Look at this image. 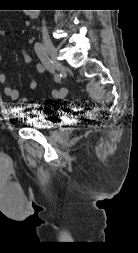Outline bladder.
I'll list each match as a JSON object with an SVG mask.
<instances>
[{"mask_svg":"<svg viewBox=\"0 0 138 253\" xmlns=\"http://www.w3.org/2000/svg\"><path fill=\"white\" fill-rule=\"evenodd\" d=\"M48 109H46L47 111ZM22 119L24 123L30 128L40 130H50L55 128V124L47 120V113L44 111L29 110L22 113Z\"/></svg>","mask_w":138,"mask_h":253,"instance_id":"bladder-1","label":"bladder"}]
</instances>
